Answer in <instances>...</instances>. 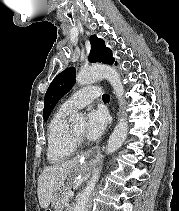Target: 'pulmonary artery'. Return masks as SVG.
Wrapping results in <instances>:
<instances>
[{"mask_svg": "<svg viewBox=\"0 0 179 211\" xmlns=\"http://www.w3.org/2000/svg\"><path fill=\"white\" fill-rule=\"evenodd\" d=\"M101 96V89L98 86H88L75 92L62 105L61 109L67 112L77 111L90 104L94 99Z\"/></svg>", "mask_w": 179, "mask_h": 211, "instance_id": "pulmonary-artery-1", "label": "pulmonary artery"}]
</instances>
